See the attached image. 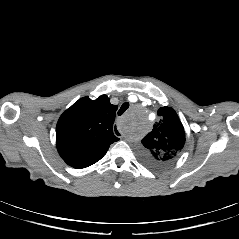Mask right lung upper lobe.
Returning a JSON list of instances; mask_svg holds the SVG:
<instances>
[{
  "label": "right lung upper lobe",
  "mask_w": 239,
  "mask_h": 239,
  "mask_svg": "<svg viewBox=\"0 0 239 239\" xmlns=\"http://www.w3.org/2000/svg\"><path fill=\"white\" fill-rule=\"evenodd\" d=\"M116 110L117 105L102 95L96 100L84 97L61 115L56 126V146L68 165L88 167L119 140L113 133Z\"/></svg>",
  "instance_id": "1"
}]
</instances>
